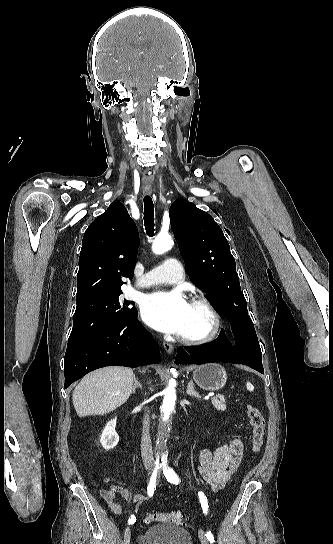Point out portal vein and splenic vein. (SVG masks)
<instances>
[{
  "mask_svg": "<svg viewBox=\"0 0 333 544\" xmlns=\"http://www.w3.org/2000/svg\"><path fill=\"white\" fill-rule=\"evenodd\" d=\"M214 396V393H209L208 394V397H213Z\"/></svg>",
  "mask_w": 333,
  "mask_h": 544,
  "instance_id": "1",
  "label": "portal vein and splenic vein"
}]
</instances>
